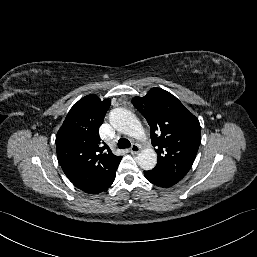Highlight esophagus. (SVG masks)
I'll use <instances>...</instances> for the list:
<instances>
[{
    "label": "esophagus",
    "instance_id": "obj_1",
    "mask_svg": "<svg viewBox=\"0 0 257 257\" xmlns=\"http://www.w3.org/2000/svg\"><path fill=\"white\" fill-rule=\"evenodd\" d=\"M139 151H140V147H139V145H137V144H133V145L131 146V148H130V152H131L132 154H138Z\"/></svg>",
    "mask_w": 257,
    "mask_h": 257
}]
</instances>
